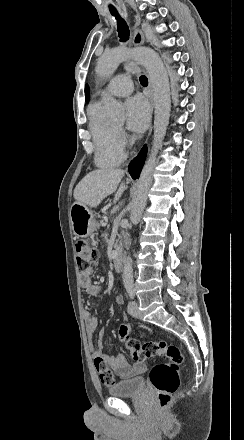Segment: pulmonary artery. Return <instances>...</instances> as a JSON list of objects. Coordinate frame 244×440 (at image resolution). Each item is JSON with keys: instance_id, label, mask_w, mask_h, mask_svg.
<instances>
[{"instance_id": "pulmonary-artery-1", "label": "pulmonary artery", "mask_w": 244, "mask_h": 440, "mask_svg": "<svg viewBox=\"0 0 244 440\" xmlns=\"http://www.w3.org/2000/svg\"><path fill=\"white\" fill-rule=\"evenodd\" d=\"M111 82L114 91H111L110 94L114 96H130L134 89L132 75H112Z\"/></svg>"}]
</instances>
